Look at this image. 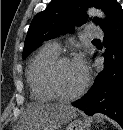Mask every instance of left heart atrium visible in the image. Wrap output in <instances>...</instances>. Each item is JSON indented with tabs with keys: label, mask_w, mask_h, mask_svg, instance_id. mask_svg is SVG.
<instances>
[{
	"label": "left heart atrium",
	"mask_w": 123,
	"mask_h": 130,
	"mask_svg": "<svg viewBox=\"0 0 123 130\" xmlns=\"http://www.w3.org/2000/svg\"><path fill=\"white\" fill-rule=\"evenodd\" d=\"M75 68L83 75L86 77L87 75V64H86V60L82 55H79L77 57L74 58V60L72 61Z\"/></svg>",
	"instance_id": "39dd6f15"
}]
</instances>
